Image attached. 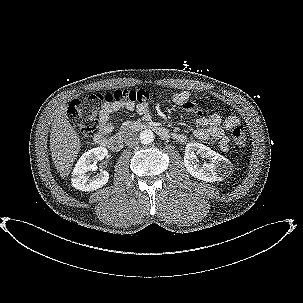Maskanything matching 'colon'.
Listing matches in <instances>:
<instances>
[{
    "label": "colon",
    "mask_w": 303,
    "mask_h": 303,
    "mask_svg": "<svg viewBox=\"0 0 303 303\" xmlns=\"http://www.w3.org/2000/svg\"><path fill=\"white\" fill-rule=\"evenodd\" d=\"M156 95L144 89L115 90L113 92L98 93L87 98L75 99L68 107V119L77 128L78 132L85 138L94 137L98 129L97 114L105 104L125 102L131 104L146 103L155 98ZM187 110H194L191 101L183 104ZM201 115V111H197ZM231 140L234 148L242 149L248 140L247 133L241 128H235L231 132Z\"/></svg>",
    "instance_id": "obj_1"
}]
</instances>
